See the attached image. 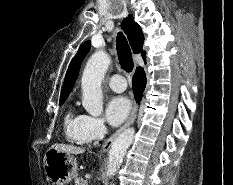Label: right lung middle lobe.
<instances>
[{
  "label": "right lung middle lobe",
  "instance_id": "obj_1",
  "mask_svg": "<svg viewBox=\"0 0 233 185\" xmlns=\"http://www.w3.org/2000/svg\"><path fill=\"white\" fill-rule=\"evenodd\" d=\"M64 103V101H61V102H59V105H62Z\"/></svg>",
  "mask_w": 233,
  "mask_h": 185
}]
</instances>
